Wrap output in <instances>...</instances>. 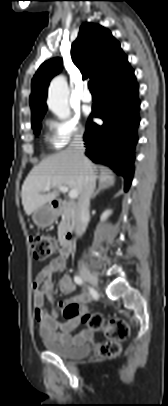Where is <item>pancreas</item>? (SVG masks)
<instances>
[{
    "mask_svg": "<svg viewBox=\"0 0 168 406\" xmlns=\"http://www.w3.org/2000/svg\"><path fill=\"white\" fill-rule=\"evenodd\" d=\"M73 216H74V209L73 208H65L62 213V221L58 226V236L62 237L67 231L72 228L73 225Z\"/></svg>",
    "mask_w": 168,
    "mask_h": 406,
    "instance_id": "pancreas-1",
    "label": "pancreas"
}]
</instances>
